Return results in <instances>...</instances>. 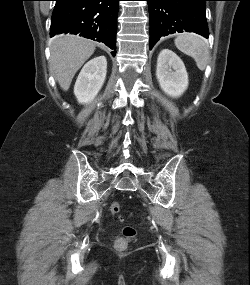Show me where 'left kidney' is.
<instances>
[{
	"label": "left kidney",
	"mask_w": 250,
	"mask_h": 285,
	"mask_svg": "<svg viewBox=\"0 0 250 285\" xmlns=\"http://www.w3.org/2000/svg\"><path fill=\"white\" fill-rule=\"evenodd\" d=\"M156 77L170 97H180L188 88V74L183 61L171 50L163 49L157 59Z\"/></svg>",
	"instance_id": "obj_1"
}]
</instances>
